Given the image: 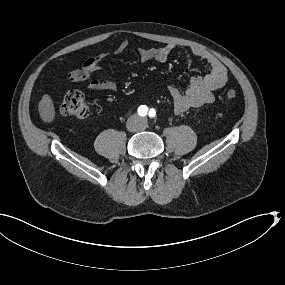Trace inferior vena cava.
<instances>
[{"instance_id":"inferior-vena-cava-1","label":"inferior vena cava","mask_w":285,"mask_h":285,"mask_svg":"<svg viewBox=\"0 0 285 285\" xmlns=\"http://www.w3.org/2000/svg\"><path fill=\"white\" fill-rule=\"evenodd\" d=\"M129 130H130V131H133V132H136V131H139L140 129H138V128L136 127V128H134V129H133V128H129Z\"/></svg>"}]
</instances>
